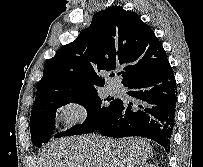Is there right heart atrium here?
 Masks as SVG:
<instances>
[{
	"label": "right heart atrium",
	"instance_id": "obj_1",
	"mask_svg": "<svg viewBox=\"0 0 203 167\" xmlns=\"http://www.w3.org/2000/svg\"><path fill=\"white\" fill-rule=\"evenodd\" d=\"M89 113L85 102L74 100L65 103L59 109V116L66 127H75L85 121Z\"/></svg>",
	"mask_w": 203,
	"mask_h": 167
}]
</instances>
